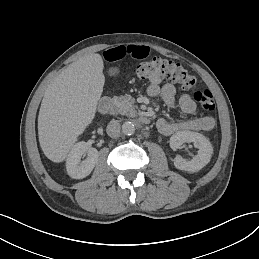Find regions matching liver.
<instances>
[{"label":"liver","instance_id":"1","mask_svg":"<svg viewBox=\"0 0 259 259\" xmlns=\"http://www.w3.org/2000/svg\"><path fill=\"white\" fill-rule=\"evenodd\" d=\"M103 69L102 55H86L47 86L39 109L38 139L53 163L64 162L93 123L105 83Z\"/></svg>","mask_w":259,"mask_h":259}]
</instances>
